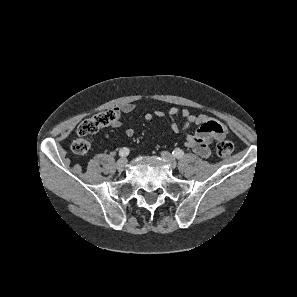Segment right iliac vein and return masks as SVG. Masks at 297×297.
<instances>
[{
	"label": "right iliac vein",
	"mask_w": 297,
	"mask_h": 297,
	"mask_svg": "<svg viewBox=\"0 0 297 297\" xmlns=\"http://www.w3.org/2000/svg\"><path fill=\"white\" fill-rule=\"evenodd\" d=\"M127 165V160L125 158H121L116 163V169L119 172H122Z\"/></svg>",
	"instance_id": "1"
}]
</instances>
